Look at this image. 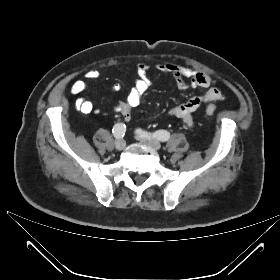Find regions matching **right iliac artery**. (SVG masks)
<instances>
[{"label": "right iliac artery", "instance_id": "82829eb1", "mask_svg": "<svg viewBox=\"0 0 280 280\" xmlns=\"http://www.w3.org/2000/svg\"><path fill=\"white\" fill-rule=\"evenodd\" d=\"M126 132V125L123 123H118L116 125H114L113 129H112V133L114 134V136L116 138H123Z\"/></svg>", "mask_w": 280, "mask_h": 280}]
</instances>
